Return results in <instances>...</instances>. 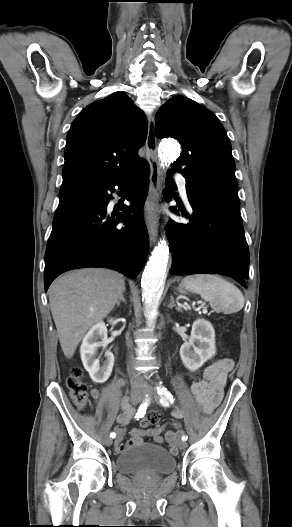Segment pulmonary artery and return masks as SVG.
I'll return each mask as SVG.
<instances>
[{
  "instance_id": "1",
  "label": "pulmonary artery",
  "mask_w": 292,
  "mask_h": 527,
  "mask_svg": "<svg viewBox=\"0 0 292 527\" xmlns=\"http://www.w3.org/2000/svg\"><path fill=\"white\" fill-rule=\"evenodd\" d=\"M175 178L179 184V190H180L182 197L184 198L185 201H187L186 179L180 174H177Z\"/></svg>"
}]
</instances>
